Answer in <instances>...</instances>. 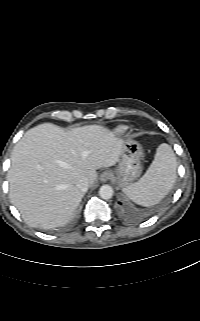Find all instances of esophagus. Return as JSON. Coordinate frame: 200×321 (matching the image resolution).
<instances>
[{
	"instance_id": "34e87169",
	"label": "esophagus",
	"mask_w": 200,
	"mask_h": 321,
	"mask_svg": "<svg viewBox=\"0 0 200 321\" xmlns=\"http://www.w3.org/2000/svg\"><path fill=\"white\" fill-rule=\"evenodd\" d=\"M110 177H111V173L108 170H105L100 174V180L102 182H106L107 180L110 179Z\"/></svg>"
}]
</instances>
